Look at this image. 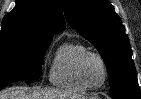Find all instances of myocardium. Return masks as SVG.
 Segmentation results:
<instances>
[{"instance_id": "myocardium-1", "label": "myocardium", "mask_w": 141, "mask_h": 99, "mask_svg": "<svg viewBox=\"0 0 141 99\" xmlns=\"http://www.w3.org/2000/svg\"><path fill=\"white\" fill-rule=\"evenodd\" d=\"M90 57H94L96 59H98L102 65L103 71H104V78L103 81L99 84V85H91L84 74V65L85 62L87 61L88 58ZM77 72H78V76L80 81L88 88V89H92V90H96L101 88L107 81L108 77H109V71H108V66L107 63L104 59V57L95 51H86L85 53L82 54V56L79 59L78 62V67H77Z\"/></svg>"}]
</instances>
